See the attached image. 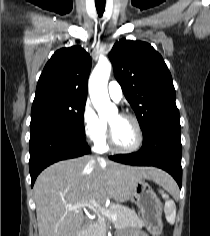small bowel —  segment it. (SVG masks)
<instances>
[{"label": "small bowel", "mask_w": 210, "mask_h": 236, "mask_svg": "<svg viewBox=\"0 0 210 236\" xmlns=\"http://www.w3.org/2000/svg\"><path fill=\"white\" fill-rule=\"evenodd\" d=\"M118 236H147V235L140 232L128 231V232L120 233Z\"/></svg>", "instance_id": "obj_1"}]
</instances>
